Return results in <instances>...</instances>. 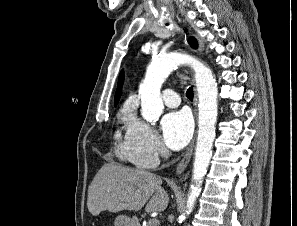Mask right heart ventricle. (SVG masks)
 <instances>
[{"label": "right heart ventricle", "mask_w": 297, "mask_h": 226, "mask_svg": "<svg viewBox=\"0 0 297 226\" xmlns=\"http://www.w3.org/2000/svg\"><path fill=\"white\" fill-rule=\"evenodd\" d=\"M131 113L130 112H124L122 115H121V121L124 122V123H127L129 122V120L131 119ZM124 143V142H123ZM123 146V144H122ZM121 146V147H122Z\"/></svg>", "instance_id": "right-heart-ventricle-1"}]
</instances>
